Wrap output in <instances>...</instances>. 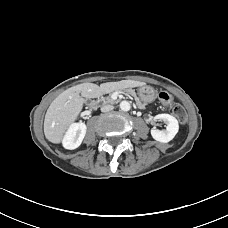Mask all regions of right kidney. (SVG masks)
I'll use <instances>...</instances> for the list:
<instances>
[{"instance_id": "obj_1", "label": "right kidney", "mask_w": 228, "mask_h": 228, "mask_svg": "<svg viewBox=\"0 0 228 228\" xmlns=\"http://www.w3.org/2000/svg\"><path fill=\"white\" fill-rule=\"evenodd\" d=\"M87 127L85 123H73L67 130L63 138V146L66 149L73 150L78 148L86 134Z\"/></svg>"}]
</instances>
